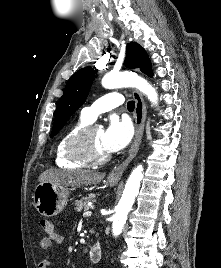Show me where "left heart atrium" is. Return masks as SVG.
I'll return each mask as SVG.
<instances>
[{"label":"left heart atrium","instance_id":"1","mask_svg":"<svg viewBox=\"0 0 221 268\" xmlns=\"http://www.w3.org/2000/svg\"><path fill=\"white\" fill-rule=\"evenodd\" d=\"M131 138L132 126L130 122L116 117L110 120L103 136L105 148L109 153L117 152L126 147Z\"/></svg>","mask_w":221,"mask_h":268}]
</instances>
